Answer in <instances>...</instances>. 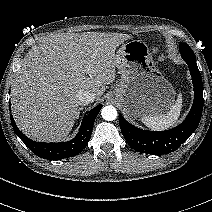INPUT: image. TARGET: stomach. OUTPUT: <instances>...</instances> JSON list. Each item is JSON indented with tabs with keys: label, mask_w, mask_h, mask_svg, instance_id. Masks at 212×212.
I'll list each match as a JSON object with an SVG mask.
<instances>
[{
	"label": "stomach",
	"mask_w": 212,
	"mask_h": 212,
	"mask_svg": "<svg viewBox=\"0 0 212 212\" xmlns=\"http://www.w3.org/2000/svg\"><path fill=\"white\" fill-rule=\"evenodd\" d=\"M116 67L121 75L113 96L133 118L165 115L175 101L173 86L157 69L145 43L131 40L116 52Z\"/></svg>",
	"instance_id": "obj_1"
}]
</instances>
